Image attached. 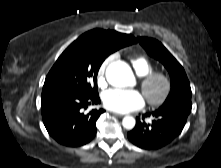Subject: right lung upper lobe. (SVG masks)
<instances>
[{
  "instance_id": "right-lung-upper-lobe-1",
  "label": "right lung upper lobe",
  "mask_w": 221,
  "mask_h": 168,
  "mask_svg": "<svg viewBox=\"0 0 221 168\" xmlns=\"http://www.w3.org/2000/svg\"><path fill=\"white\" fill-rule=\"evenodd\" d=\"M77 40H87L104 50H111L113 52L136 42V39L132 35L101 29L88 31Z\"/></svg>"
}]
</instances>
